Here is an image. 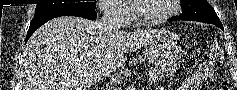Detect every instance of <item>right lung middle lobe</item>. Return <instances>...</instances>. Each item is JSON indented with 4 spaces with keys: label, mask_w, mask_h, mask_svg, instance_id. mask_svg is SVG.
Here are the masks:
<instances>
[{
    "label": "right lung middle lobe",
    "mask_w": 237,
    "mask_h": 90,
    "mask_svg": "<svg viewBox=\"0 0 237 90\" xmlns=\"http://www.w3.org/2000/svg\"><path fill=\"white\" fill-rule=\"evenodd\" d=\"M67 8H88L95 9V2L88 3H58V4H37L34 17L46 15L61 9Z\"/></svg>",
    "instance_id": "dd1d6c3e"
}]
</instances>
